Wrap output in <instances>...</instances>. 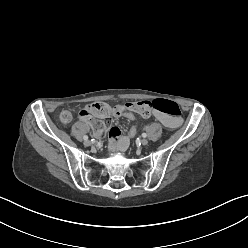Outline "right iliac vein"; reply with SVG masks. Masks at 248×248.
<instances>
[{
    "mask_svg": "<svg viewBox=\"0 0 248 248\" xmlns=\"http://www.w3.org/2000/svg\"><path fill=\"white\" fill-rule=\"evenodd\" d=\"M90 144H91V142H90L89 140H85V141H84V145H85V146H89Z\"/></svg>",
    "mask_w": 248,
    "mask_h": 248,
    "instance_id": "63e3f726",
    "label": "right iliac vein"
}]
</instances>
